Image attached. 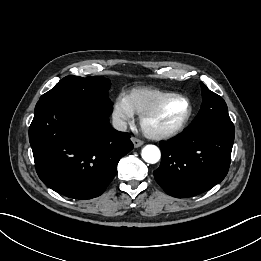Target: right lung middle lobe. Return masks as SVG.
<instances>
[{"mask_svg": "<svg viewBox=\"0 0 261 261\" xmlns=\"http://www.w3.org/2000/svg\"><path fill=\"white\" fill-rule=\"evenodd\" d=\"M110 85V81L104 77L82 78L70 75L43 94L39 101L95 106L110 114L112 112V102L108 99Z\"/></svg>", "mask_w": 261, "mask_h": 261, "instance_id": "right-lung-middle-lobe-1", "label": "right lung middle lobe"}]
</instances>
